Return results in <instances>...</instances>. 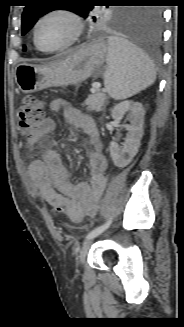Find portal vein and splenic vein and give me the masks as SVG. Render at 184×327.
Here are the masks:
<instances>
[{"label":"portal vein and splenic vein","mask_w":184,"mask_h":327,"mask_svg":"<svg viewBox=\"0 0 184 327\" xmlns=\"http://www.w3.org/2000/svg\"><path fill=\"white\" fill-rule=\"evenodd\" d=\"M100 87H101V84L100 83H94L93 85H92V89H91V91H95V90H98V89H100Z\"/></svg>","instance_id":"obj_1"}]
</instances>
